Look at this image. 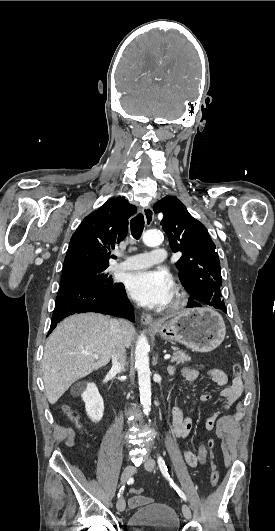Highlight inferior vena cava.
Returning a JSON list of instances; mask_svg holds the SVG:
<instances>
[{
    "label": "inferior vena cava",
    "instance_id": "obj_1",
    "mask_svg": "<svg viewBox=\"0 0 275 531\" xmlns=\"http://www.w3.org/2000/svg\"><path fill=\"white\" fill-rule=\"evenodd\" d=\"M108 325L112 337V369L115 373H122L126 363V349L122 337V329L116 319H110Z\"/></svg>",
    "mask_w": 275,
    "mask_h": 531
}]
</instances>
